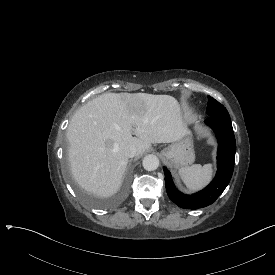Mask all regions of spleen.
Instances as JSON below:
<instances>
[{
  "instance_id": "3e777b00",
  "label": "spleen",
  "mask_w": 275,
  "mask_h": 275,
  "mask_svg": "<svg viewBox=\"0 0 275 275\" xmlns=\"http://www.w3.org/2000/svg\"><path fill=\"white\" fill-rule=\"evenodd\" d=\"M212 164H194L190 167H183L179 170V175L187 188L198 190L204 187L212 178Z\"/></svg>"
}]
</instances>
